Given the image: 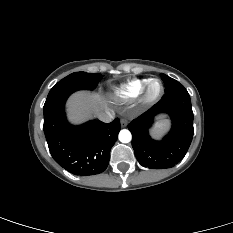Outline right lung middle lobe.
<instances>
[{
	"mask_svg": "<svg viewBox=\"0 0 233 233\" xmlns=\"http://www.w3.org/2000/svg\"><path fill=\"white\" fill-rule=\"evenodd\" d=\"M102 76L99 73L75 72L58 82L49 92L46 102L50 103L62 97H68L77 90L94 89Z\"/></svg>",
	"mask_w": 233,
	"mask_h": 233,
	"instance_id": "obj_1",
	"label": "right lung middle lobe"
}]
</instances>
